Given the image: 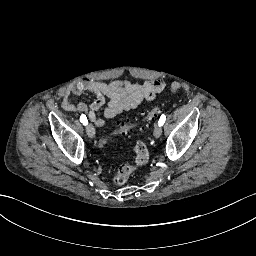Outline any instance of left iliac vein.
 I'll return each instance as SVG.
<instances>
[{
	"label": "left iliac vein",
	"mask_w": 256,
	"mask_h": 256,
	"mask_svg": "<svg viewBox=\"0 0 256 256\" xmlns=\"http://www.w3.org/2000/svg\"><path fill=\"white\" fill-rule=\"evenodd\" d=\"M162 134V128L160 125H156L154 128V136L155 138H159Z\"/></svg>",
	"instance_id": "1"
}]
</instances>
